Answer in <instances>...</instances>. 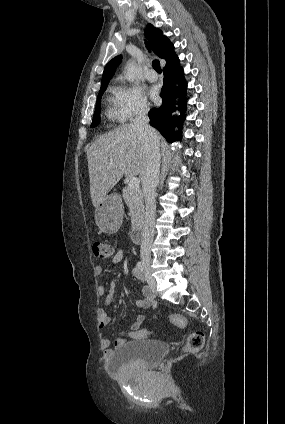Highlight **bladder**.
Instances as JSON below:
<instances>
[{
	"label": "bladder",
	"instance_id": "obj_1",
	"mask_svg": "<svg viewBox=\"0 0 285 424\" xmlns=\"http://www.w3.org/2000/svg\"><path fill=\"white\" fill-rule=\"evenodd\" d=\"M167 343L155 340H133L117 347L111 354L109 367L117 373L135 366L155 367L168 354Z\"/></svg>",
	"mask_w": 285,
	"mask_h": 424
}]
</instances>
